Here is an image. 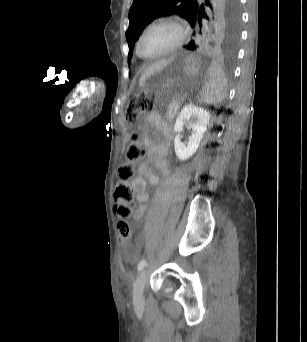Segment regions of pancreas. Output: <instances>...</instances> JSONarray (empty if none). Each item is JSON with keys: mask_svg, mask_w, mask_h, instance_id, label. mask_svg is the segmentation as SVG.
<instances>
[{"mask_svg": "<svg viewBox=\"0 0 307 342\" xmlns=\"http://www.w3.org/2000/svg\"><path fill=\"white\" fill-rule=\"evenodd\" d=\"M180 99L178 97H175L172 101V106H167L166 107V114L168 117H173L174 116V112H175V108L179 106Z\"/></svg>", "mask_w": 307, "mask_h": 342, "instance_id": "pancreas-1", "label": "pancreas"}]
</instances>
